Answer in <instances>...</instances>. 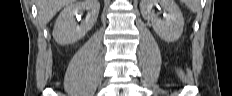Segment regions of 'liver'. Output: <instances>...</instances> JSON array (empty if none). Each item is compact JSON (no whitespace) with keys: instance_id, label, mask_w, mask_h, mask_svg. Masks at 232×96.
I'll use <instances>...</instances> for the list:
<instances>
[{"instance_id":"6515ba94","label":"liver","mask_w":232,"mask_h":96,"mask_svg":"<svg viewBox=\"0 0 232 96\" xmlns=\"http://www.w3.org/2000/svg\"><path fill=\"white\" fill-rule=\"evenodd\" d=\"M74 0H37L38 17L43 25H46L56 13Z\"/></svg>"}]
</instances>
